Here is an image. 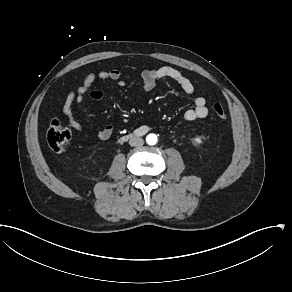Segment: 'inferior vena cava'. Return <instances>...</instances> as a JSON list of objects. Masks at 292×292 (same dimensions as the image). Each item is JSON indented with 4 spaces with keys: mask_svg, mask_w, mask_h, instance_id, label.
Here are the masks:
<instances>
[{
    "mask_svg": "<svg viewBox=\"0 0 292 292\" xmlns=\"http://www.w3.org/2000/svg\"><path fill=\"white\" fill-rule=\"evenodd\" d=\"M144 144V140L140 137H132L129 140L130 146H142Z\"/></svg>",
    "mask_w": 292,
    "mask_h": 292,
    "instance_id": "1",
    "label": "inferior vena cava"
}]
</instances>
